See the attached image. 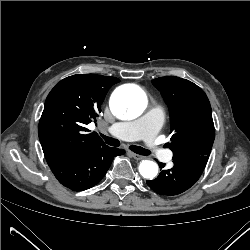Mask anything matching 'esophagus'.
I'll list each match as a JSON object with an SVG mask.
<instances>
[{
  "instance_id": "esophagus-1",
  "label": "esophagus",
  "mask_w": 250,
  "mask_h": 250,
  "mask_svg": "<svg viewBox=\"0 0 250 250\" xmlns=\"http://www.w3.org/2000/svg\"><path fill=\"white\" fill-rule=\"evenodd\" d=\"M129 154L136 160H141L143 159L144 157L142 155H139V154H135L133 152H129Z\"/></svg>"
}]
</instances>
